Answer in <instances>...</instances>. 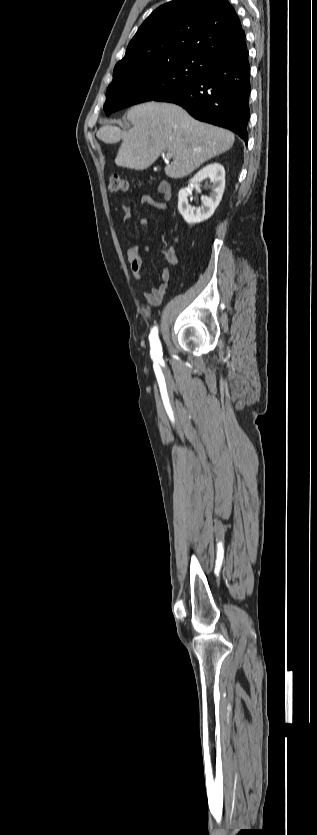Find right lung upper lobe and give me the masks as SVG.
Returning a JSON list of instances; mask_svg holds the SVG:
<instances>
[{"label": "right lung upper lobe", "instance_id": "1", "mask_svg": "<svg viewBox=\"0 0 317 835\" xmlns=\"http://www.w3.org/2000/svg\"><path fill=\"white\" fill-rule=\"evenodd\" d=\"M240 35V20L227 0H174L143 22L113 75L199 59Z\"/></svg>", "mask_w": 317, "mask_h": 835}]
</instances>
